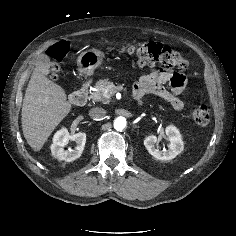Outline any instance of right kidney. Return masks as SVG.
I'll return each mask as SVG.
<instances>
[{
	"label": "right kidney",
	"instance_id": "obj_1",
	"mask_svg": "<svg viewBox=\"0 0 236 236\" xmlns=\"http://www.w3.org/2000/svg\"><path fill=\"white\" fill-rule=\"evenodd\" d=\"M69 140L75 141L77 146L75 149L65 150ZM86 143V134L79 132L74 135H70L66 128H61L57 131L53 137V143L51 145V153L58 160H64L71 162L79 158L84 150Z\"/></svg>",
	"mask_w": 236,
	"mask_h": 236
}]
</instances>
